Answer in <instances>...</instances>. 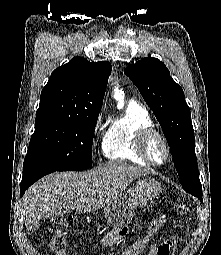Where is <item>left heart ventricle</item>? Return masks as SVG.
Returning <instances> with one entry per match:
<instances>
[{
    "label": "left heart ventricle",
    "mask_w": 221,
    "mask_h": 255,
    "mask_svg": "<svg viewBox=\"0 0 221 255\" xmlns=\"http://www.w3.org/2000/svg\"><path fill=\"white\" fill-rule=\"evenodd\" d=\"M148 153L151 159L156 163H161L166 157V151L161 141L157 138L150 140L148 144Z\"/></svg>",
    "instance_id": "left-heart-ventricle-1"
}]
</instances>
